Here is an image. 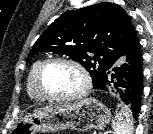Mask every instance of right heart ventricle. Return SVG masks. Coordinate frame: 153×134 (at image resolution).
Listing matches in <instances>:
<instances>
[{
  "mask_svg": "<svg viewBox=\"0 0 153 134\" xmlns=\"http://www.w3.org/2000/svg\"><path fill=\"white\" fill-rule=\"evenodd\" d=\"M42 62H43L42 60L35 61L30 67V70L27 76V93L32 99L36 101L44 100V98H42V96L37 91L36 84H35L36 73L40 65L42 64Z\"/></svg>",
  "mask_w": 153,
  "mask_h": 134,
  "instance_id": "1",
  "label": "right heart ventricle"
}]
</instances>
